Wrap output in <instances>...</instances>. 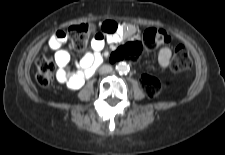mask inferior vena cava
I'll list each match as a JSON object with an SVG mask.
<instances>
[{
	"mask_svg": "<svg viewBox=\"0 0 225 155\" xmlns=\"http://www.w3.org/2000/svg\"><path fill=\"white\" fill-rule=\"evenodd\" d=\"M112 67L110 65H103L99 68L100 74L110 73L112 72Z\"/></svg>",
	"mask_w": 225,
	"mask_h": 155,
	"instance_id": "1",
	"label": "inferior vena cava"
}]
</instances>
